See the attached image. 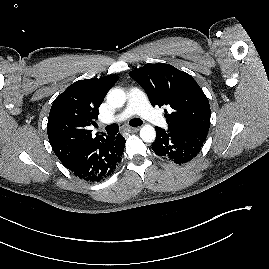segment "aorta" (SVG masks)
Returning a JSON list of instances; mask_svg holds the SVG:
<instances>
[{"label": "aorta", "instance_id": "obj_1", "mask_svg": "<svg viewBox=\"0 0 269 269\" xmlns=\"http://www.w3.org/2000/svg\"><path fill=\"white\" fill-rule=\"evenodd\" d=\"M107 102L112 107H121L126 102V94L121 89H112L107 94ZM140 137L144 142H153L156 138V131L154 127L149 124H145L140 130Z\"/></svg>", "mask_w": 269, "mask_h": 269}]
</instances>
